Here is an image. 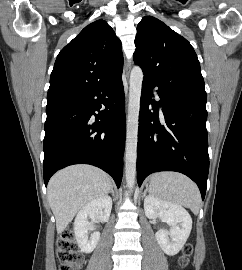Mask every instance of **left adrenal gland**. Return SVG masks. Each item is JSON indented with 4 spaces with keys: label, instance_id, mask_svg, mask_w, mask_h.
Returning a JSON list of instances; mask_svg holds the SVG:
<instances>
[{
    "label": "left adrenal gland",
    "instance_id": "a2214340",
    "mask_svg": "<svg viewBox=\"0 0 242 270\" xmlns=\"http://www.w3.org/2000/svg\"><path fill=\"white\" fill-rule=\"evenodd\" d=\"M148 192V187L145 189L143 196L145 197L146 193Z\"/></svg>",
    "mask_w": 242,
    "mask_h": 270
}]
</instances>
